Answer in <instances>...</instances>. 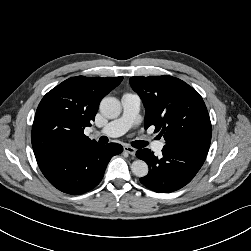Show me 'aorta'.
<instances>
[{"label": "aorta", "instance_id": "aorta-1", "mask_svg": "<svg viewBox=\"0 0 251 251\" xmlns=\"http://www.w3.org/2000/svg\"><path fill=\"white\" fill-rule=\"evenodd\" d=\"M100 112L109 119L117 118L121 113L120 101L114 97H105L100 103ZM131 170L135 176L144 177L148 174L149 168L145 161L135 160Z\"/></svg>", "mask_w": 251, "mask_h": 251}]
</instances>
